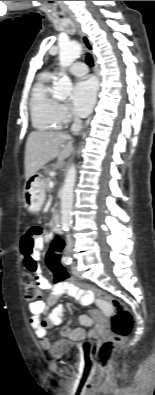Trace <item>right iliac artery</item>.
Masks as SVG:
<instances>
[{
    "label": "right iliac artery",
    "mask_w": 155,
    "mask_h": 395,
    "mask_svg": "<svg viewBox=\"0 0 155 395\" xmlns=\"http://www.w3.org/2000/svg\"><path fill=\"white\" fill-rule=\"evenodd\" d=\"M63 263L66 264V265L71 264L72 263V258L69 257V256L64 257L63 258Z\"/></svg>",
    "instance_id": "1"
}]
</instances>
